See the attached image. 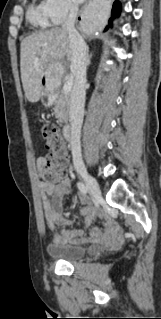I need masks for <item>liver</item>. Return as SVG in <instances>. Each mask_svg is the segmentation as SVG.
I'll return each mask as SVG.
<instances>
[{
	"instance_id": "6515ba94",
	"label": "liver",
	"mask_w": 161,
	"mask_h": 319,
	"mask_svg": "<svg viewBox=\"0 0 161 319\" xmlns=\"http://www.w3.org/2000/svg\"><path fill=\"white\" fill-rule=\"evenodd\" d=\"M64 57L72 60V51L68 33L61 28L33 34L21 42V80L29 102H38L42 96L41 77L45 69L53 63L62 65Z\"/></svg>"
}]
</instances>
